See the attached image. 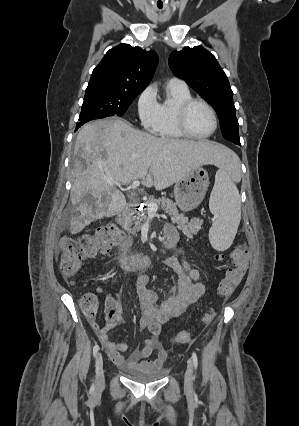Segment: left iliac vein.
I'll return each instance as SVG.
<instances>
[{"label":"left iliac vein","instance_id":"obj_1","mask_svg":"<svg viewBox=\"0 0 299 426\" xmlns=\"http://www.w3.org/2000/svg\"><path fill=\"white\" fill-rule=\"evenodd\" d=\"M193 362L191 359H188L187 361V369L184 376V385L186 388H190L192 385V378H193Z\"/></svg>","mask_w":299,"mask_h":426}]
</instances>
